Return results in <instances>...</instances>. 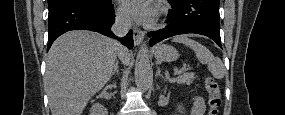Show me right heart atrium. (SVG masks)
Wrapping results in <instances>:
<instances>
[{
	"label": "right heart atrium",
	"instance_id": "right-heart-atrium-1",
	"mask_svg": "<svg viewBox=\"0 0 285 115\" xmlns=\"http://www.w3.org/2000/svg\"><path fill=\"white\" fill-rule=\"evenodd\" d=\"M117 18H118V20H119L120 22H122V23H126V22L129 21L128 15H127L124 11H122V10H119V11L117 12Z\"/></svg>",
	"mask_w": 285,
	"mask_h": 115
}]
</instances>
